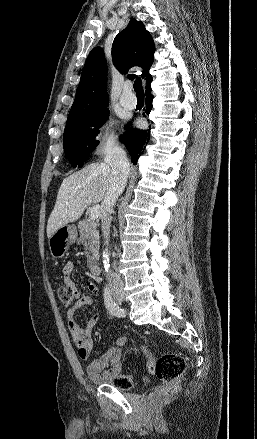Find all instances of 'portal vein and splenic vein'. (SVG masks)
<instances>
[{
  "label": "portal vein and splenic vein",
  "instance_id": "18ae733b",
  "mask_svg": "<svg viewBox=\"0 0 257 439\" xmlns=\"http://www.w3.org/2000/svg\"><path fill=\"white\" fill-rule=\"evenodd\" d=\"M99 211H100L99 205L93 206L89 214V220H95L99 215Z\"/></svg>",
  "mask_w": 257,
  "mask_h": 439
}]
</instances>
